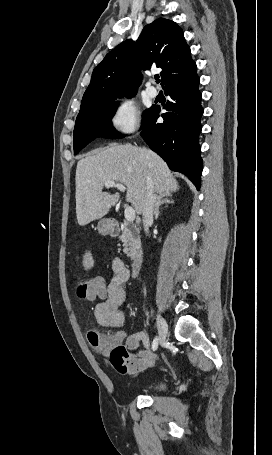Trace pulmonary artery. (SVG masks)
<instances>
[{
    "mask_svg": "<svg viewBox=\"0 0 272 455\" xmlns=\"http://www.w3.org/2000/svg\"><path fill=\"white\" fill-rule=\"evenodd\" d=\"M146 93L151 98H155L158 95L157 89L154 86H152L151 84H148L146 86Z\"/></svg>",
    "mask_w": 272,
    "mask_h": 455,
    "instance_id": "pulmonary-artery-1",
    "label": "pulmonary artery"
}]
</instances>
